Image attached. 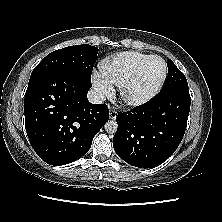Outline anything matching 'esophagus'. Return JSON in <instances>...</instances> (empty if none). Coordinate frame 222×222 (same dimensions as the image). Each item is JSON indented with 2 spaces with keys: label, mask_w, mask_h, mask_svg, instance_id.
Instances as JSON below:
<instances>
[{
  "label": "esophagus",
  "mask_w": 222,
  "mask_h": 222,
  "mask_svg": "<svg viewBox=\"0 0 222 222\" xmlns=\"http://www.w3.org/2000/svg\"><path fill=\"white\" fill-rule=\"evenodd\" d=\"M110 119H115L117 117V111L115 109H111L109 112Z\"/></svg>",
  "instance_id": "34e87169"
}]
</instances>
